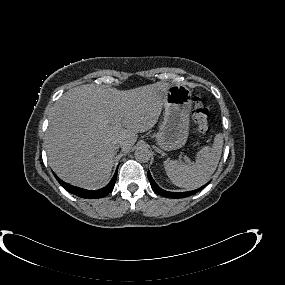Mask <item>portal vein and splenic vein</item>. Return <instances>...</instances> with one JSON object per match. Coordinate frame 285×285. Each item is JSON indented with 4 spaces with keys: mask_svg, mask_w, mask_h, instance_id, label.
Masks as SVG:
<instances>
[{
    "mask_svg": "<svg viewBox=\"0 0 285 285\" xmlns=\"http://www.w3.org/2000/svg\"><path fill=\"white\" fill-rule=\"evenodd\" d=\"M184 160H185L186 162H189V161H190L187 156H184Z\"/></svg>",
    "mask_w": 285,
    "mask_h": 285,
    "instance_id": "obj_1",
    "label": "portal vein and splenic vein"
}]
</instances>
